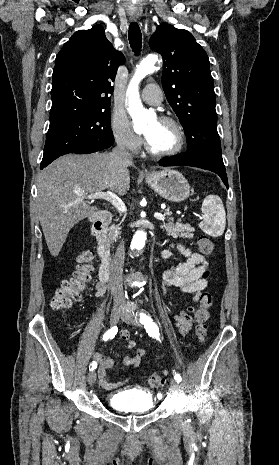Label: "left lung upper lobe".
<instances>
[{
  "instance_id": "1",
  "label": "left lung upper lobe",
  "mask_w": 279,
  "mask_h": 465,
  "mask_svg": "<svg viewBox=\"0 0 279 465\" xmlns=\"http://www.w3.org/2000/svg\"><path fill=\"white\" fill-rule=\"evenodd\" d=\"M150 47L163 57V89L184 127L186 153L225 168L217 132L214 83L206 52L189 31L167 23L157 27L150 38Z\"/></svg>"
}]
</instances>
